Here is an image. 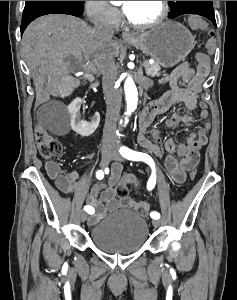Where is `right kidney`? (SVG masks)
<instances>
[{"instance_id": "right-kidney-1", "label": "right kidney", "mask_w": 237, "mask_h": 300, "mask_svg": "<svg viewBox=\"0 0 237 300\" xmlns=\"http://www.w3.org/2000/svg\"><path fill=\"white\" fill-rule=\"evenodd\" d=\"M81 105L82 99L77 97V99H74L68 107L71 115V127L73 131H76L77 135H81V137H90V135H93L94 131H96L100 123V115L99 113H95L92 119H89V121H83L80 113Z\"/></svg>"}]
</instances>
